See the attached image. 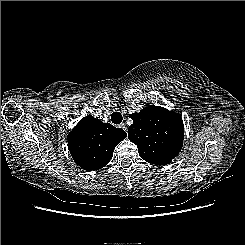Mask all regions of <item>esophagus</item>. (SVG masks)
<instances>
[{
  "label": "esophagus",
  "instance_id": "1",
  "mask_svg": "<svg viewBox=\"0 0 245 245\" xmlns=\"http://www.w3.org/2000/svg\"><path fill=\"white\" fill-rule=\"evenodd\" d=\"M120 127H121L124 131H127V126H126V124L122 123V124H120Z\"/></svg>",
  "mask_w": 245,
  "mask_h": 245
}]
</instances>
